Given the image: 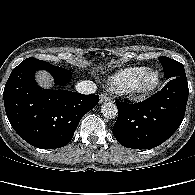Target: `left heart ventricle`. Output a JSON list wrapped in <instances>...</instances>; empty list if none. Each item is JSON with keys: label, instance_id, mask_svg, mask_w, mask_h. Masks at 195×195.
Instances as JSON below:
<instances>
[{"label": "left heart ventricle", "instance_id": "left-heart-ventricle-1", "mask_svg": "<svg viewBox=\"0 0 195 195\" xmlns=\"http://www.w3.org/2000/svg\"><path fill=\"white\" fill-rule=\"evenodd\" d=\"M153 82V77L152 76H145L142 80H141V85L145 86L148 85L150 83Z\"/></svg>", "mask_w": 195, "mask_h": 195}]
</instances>
